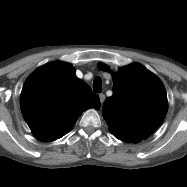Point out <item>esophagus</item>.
<instances>
[{
	"label": "esophagus",
	"instance_id": "34e87169",
	"mask_svg": "<svg viewBox=\"0 0 187 187\" xmlns=\"http://www.w3.org/2000/svg\"><path fill=\"white\" fill-rule=\"evenodd\" d=\"M99 98H100V103L101 105H103L104 101H105V95L103 93L99 94Z\"/></svg>",
	"mask_w": 187,
	"mask_h": 187
}]
</instances>
